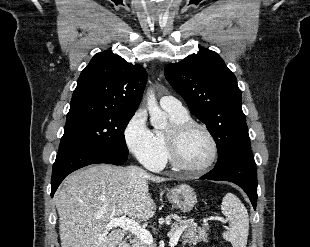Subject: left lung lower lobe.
<instances>
[{"mask_svg": "<svg viewBox=\"0 0 310 247\" xmlns=\"http://www.w3.org/2000/svg\"><path fill=\"white\" fill-rule=\"evenodd\" d=\"M201 179L223 180L239 185L256 209L257 173L251 150H246L222 164H216L215 168L203 175Z\"/></svg>", "mask_w": 310, "mask_h": 247, "instance_id": "obj_1", "label": "left lung lower lobe"}]
</instances>
